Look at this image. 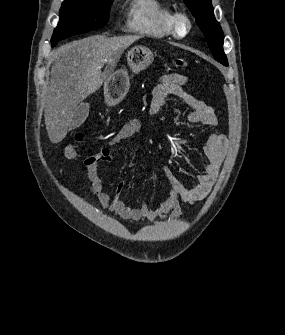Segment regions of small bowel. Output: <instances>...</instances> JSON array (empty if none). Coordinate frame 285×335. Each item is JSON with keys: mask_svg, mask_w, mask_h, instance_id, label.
<instances>
[{"mask_svg": "<svg viewBox=\"0 0 285 335\" xmlns=\"http://www.w3.org/2000/svg\"><path fill=\"white\" fill-rule=\"evenodd\" d=\"M187 79L180 74H168L163 76L154 87L150 102V113L157 116L170 97L180 99L188 108L185 118L191 125L215 127L218 124L213 109L203 101L198 100L185 91L184 85ZM143 129V123L138 119H132L125 123L109 142L100 151L85 160L86 176L89 187L97 197L98 202L104 208L125 220H149L156 218H175L182 214L180 201L187 205H193L204 199L215 183L227 147V138L223 134L212 133L204 146V154L207 163L204 172L196 177L195 185L191 188L185 187L172 172L163 167V171L170 183L171 191L168 198L152 210L147 203L142 202L138 207H131L122 199L125 183L120 182L116 186L114 194L105 190L103 181L98 175L99 166L105 162H113L117 156L112 147L119 145L131 138Z\"/></svg>", "mask_w": 285, "mask_h": 335, "instance_id": "small-bowel-1", "label": "small bowel"}]
</instances>
